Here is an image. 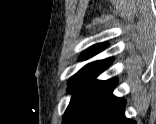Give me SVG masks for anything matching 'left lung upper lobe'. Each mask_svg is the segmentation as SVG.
<instances>
[{"mask_svg": "<svg viewBox=\"0 0 156 124\" xmlns=\"http://www.w3.org/2000/svg\"><path fill=\"white\" fill-rule=\"evenodd\" d=\"M106 46V43L93 46L85 51L80 59H88ZM112 61V58H108L90 63L70 78L68 91L73 92V96L63 116V124H78L83 119L92 102L108 82L98 81L94 78L109 67Z\"/></svg>", "mask_w": 156, "mask_h": 124, "instance_id": "obj_1", "label": "left lung upper lobe"}]
</instances>
